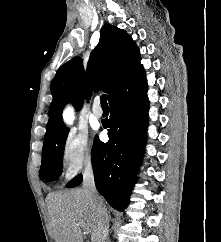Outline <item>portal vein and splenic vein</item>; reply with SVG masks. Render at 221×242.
Wrapping results in <instances>:
<instances>
[{
  "mask_svg": "<svg viewBox=\"0 0 221 242\" xmlns=\"http://www.w3.org/2000/svg\"><path fill=\"white\" fill-rule=\"evenodd\" d=\"M79 225V224H78ZM86 231V233H89V231L87 229H84Z\"/></svg>",
  "mask_w": 221,
  "mask_h": 242,
  "instance_id": "18ae733b",
  "label": "portal vein and splenic vein"
}]
</instances>
